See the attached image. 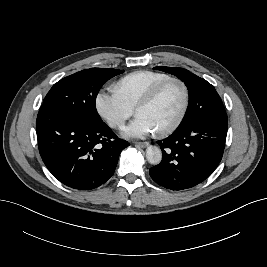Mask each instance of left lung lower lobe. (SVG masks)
Here are the masks:
<instances>
[{
	"label": "left lung lower lobe",
	"instance_id": "obj_1",
	"mask_svg": "<svg viewBox=\"0 0 267 267\" xmlns=\"http://www.w3.org/2000/svg\"><path fill=\"white\" fill-rule=\"evenodd\" d=\"M227 128V114L204 110L198 121L157 141L163 159L150 169L151 178L158 185L177 191L200 184L222 159Z\"/></svg>",
	"mask_w": 267,
	"mask_h": 267
}]
</instances>
